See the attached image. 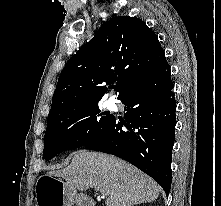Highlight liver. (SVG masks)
I'll return each instance as SVG.
<instances>
[{"instance_id":"obj_1","label":"liver","mask_w":221,"mask_h":206,"mask_svg":"<svg viewBox=\"0 0 221 206\" xmlns=\"http://www.w3.org/2000/svg\"><path fill=\"white\" fill-rule=\"evenodd\" d=\"M71 158L70 165L48 174L62 177L74 189L100 190L107 196L106 206H133L159 196L160 187L153 179L117 157L80 150Z\"/></svg>"}]
</instances>
